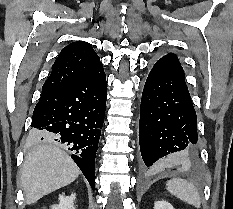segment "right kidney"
<instances>
[{"label": "right kidney", "mask_w": 233, "mask_h": 209, "mask_svg": "<svg viewBox=\"0 0 233 209\" xmlns=\"http://www.w3.org/2000/svg\"><path fill=\"white\" fill-rule=\"evenodd\" d=\"M75 196V194H71V196H65L64 194L60 195L59 204L53 205L51 209H75Z\"/></svg>", "instance_id": "right-kidney-1"}]
</instances>
